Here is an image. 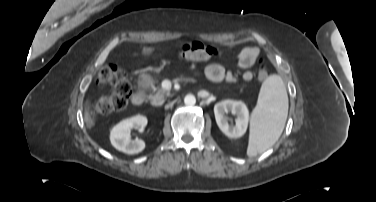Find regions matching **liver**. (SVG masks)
<instances>
[{
	"mask_svg": "<svg viewBox=\"0 0 376 202\" xmlns=\"http://www.w3.org/2000/svg\"><path fill=\"white\" fill-rule=\"evenodd\" d=\"M152 51H153L152 48L143 49L142 54L144 55L150 54ZM84 121L88 128H91L95 123L88 110H85Z\"/></svg>",
	"mask_w": 376,
	"mask_h": 202,
	"instance_id": "1",
	"label": "liver"
}]
</instances>
